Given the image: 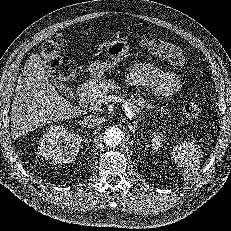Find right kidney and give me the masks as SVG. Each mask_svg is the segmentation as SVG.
<instances>
[{
    "label": "right kidney",
    "instance_id": "right-kidney-1",
    "mask_svg": "<svg viewBox=\"0 0 231 231\" xmlns=\"http://www.w3.org/2000/svg\"><path fill=\"white\" fill-rule=\"evenodd\" d=\"M82 141L79 135L64 126L54 125L41 137L39 153L56 164L71 163L81 149Z\"/></svg>",
    "mask_w": 231,
    "mask_h": 231
}]
</instances>
